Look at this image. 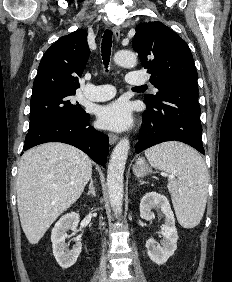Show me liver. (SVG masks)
<instances>
[{
  "mask_svg": "<svg viewBox=\"0 0 232 282\" xmlns=\"http://www.w3.org/2000/svg\"><path fill=\"white\" fill-rule=\"evenodd\" d=\"M92 176V162L79 149L51 142L25 152L16 181L22 229L37 244L57 217L79 199Z\"/></svg>",
  "mask_w": 232,
  "mask_h": 282,
  "instance_id": "1",
  "label": "liver"
}]
</instances>
